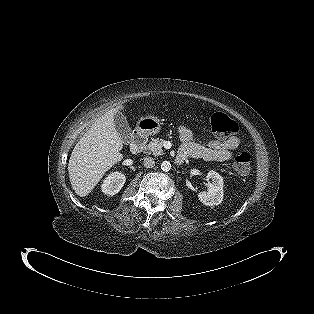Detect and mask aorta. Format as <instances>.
<instances>
[{
  "label": "aorta",
  "instance_id": "762f6f07",
  "mask_svg": "<svg viewBox=\"0 0 314 314\" xmlns=\"http://www.w3.org/2000/svg\"><path fill=\"white\" fill-rule=\"evenodd\" d=\"M161 169L164 172H168L171 170V163L169 161H163L161 164Z\"/></svg>",
  "mask_w": 314,
  "mask_h": 314
}]
</instances>
